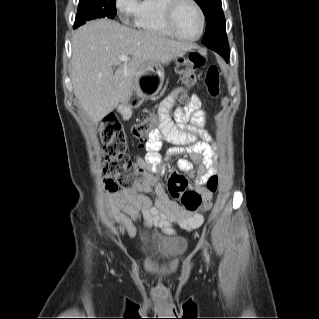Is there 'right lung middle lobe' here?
<instances>
[{
    "label": "right lung middle lobe",
    "mask_w": 319,
    "mask_h": 319,
    "mask_svg": "<svg viewBox=\"0 0 319 319\" xmlns=\"http://www.w3.org/2000/svg\"><path fill=\"white\" fill-rule=\"evenodd\" d=\"M116 0H80L74 29L86 21L101 17L114 18Z\"/></svg>",
    "instance_id": "right-lung-middle-lobe-1"
}]
</instances>
